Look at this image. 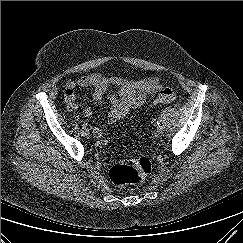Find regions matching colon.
<instances>
[{"mask_svg": "<svg viewBox=\"0 0 243 243\" xmlns=\"http://www.w3.org/2000/svg\"><path fill=\"white\" fill-rule=\"evenodd\" d=\"M176 94L170 88L160 90L154 104L173 102ZM152 163L147 157L128 161L119 159L109 170L110 180L118 186L140 184L151 173Z\"/></svg>", "mask_w": 243, "mask_h": 243, "instance_id": "5ec220e1", "label": "colon"}]
</instances>
